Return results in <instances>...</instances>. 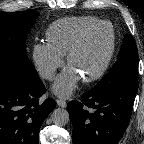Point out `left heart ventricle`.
<instances>
[{"label":"left heart ventricle","instance_id":"b2bd125f","mask_svg":"<svg viewBox=\"0 0 144 144\" xmlns=\"http://www.w3.org/2000/svg\"><path fill=\"white\" fill-rule=\"evenodd\" d=\"M110 41V26L100 27L89 35L75 53L70 66L81 78L89 76L101 66L109 50Z\"/></svg>","mask_w":144,"mask_h":144}]
</instances>
